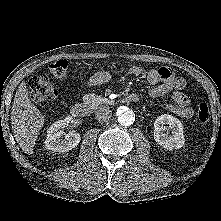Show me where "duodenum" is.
Segmentation results:
<instances>
[{"mask_svg":"<svg viewBox=\"0 0 221 221\" xmlns=\"http://www.w3.org/2000/svg\"><path fill=\"white\" fill-rule=\"evenodd\" d=\"M127 102L135 103L138 102L139 96L137 94H130L124 98ZM71 113L75 117H86L90 113L89 103H79L75 104L71 108Z\"/></svg>","mask_w":221,"mask_h":221,"instance_id":"obj_1","label":"duodenum"}]
</instances>
